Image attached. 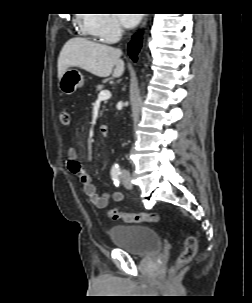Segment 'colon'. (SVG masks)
Returning <instances> with one entry per match:
<instances>
[{
  "instance_id": "1",
  "label": "colon",
  "mask_w": 252,
  "mask_h": 303,
  "mask_svg": "<svg viewBox=\"0 0 252 303\" xmlns=\"http://www.w3.org/2000/svg\"><path fill=\"white\" fill-rule=\"evenodd\" d=\"M59 121L60 124L64 126H68L71 123L70 114L66 109L60 111ZM108 216L112 220H123L127 223H156L159 221V216L156 213L125 212L117 209H111ZM196 252V240L194 238H188L176 259L174 269L188 264L194 258Z\"/></svg>"
}]
</instances>
